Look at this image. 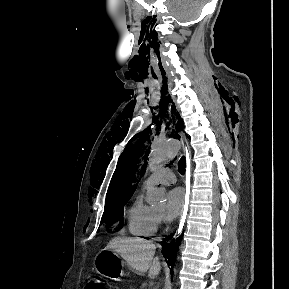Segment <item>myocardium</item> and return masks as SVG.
I'll return each instance as SVG.
<instances>
[{"instance_id": "obj_1", "label": "myocardium", "mask_w": 289, "mask_h": 289, "mask_svg": "<svg viewBox=\"0 0 289 289\" xmlns=\"http://www.w3.org/2000/svg\"><path fill=\"white\" fill-rule=\"evenodd\" d=\"M152 212H153L154 217L156 218V220H157V221L160 220L161 215L157 214V213H156L155 211H153V210H152Z\"/></svg>"}]
</instances>
